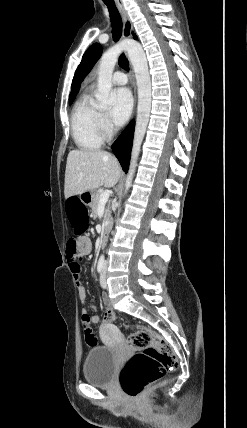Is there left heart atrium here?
I'll return each instance as SVG.
<instances>
[{
    "mask_svg": "<svg viewBox=\"0 0 247 428\" xmlns=\"http://www.w3.org/2000/svg\"><path fill=\"white\" fill-rule=\"evenodd\" d=\"M133 108L131 93L126 88H119L113 92V103L110 110L112 120L117 124H123L129 118Z\"/></svg>",
    "mask_w": 247,
    "mask_h": 428,
    "instance_id": "left-heart-atrium-1",
    "label": "left heart atrium"
}]
</instances>
